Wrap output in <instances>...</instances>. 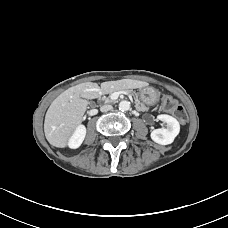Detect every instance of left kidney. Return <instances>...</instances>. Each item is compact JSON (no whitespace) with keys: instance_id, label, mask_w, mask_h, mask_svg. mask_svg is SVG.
<instances>
[{"instance_id":"left-kidney-1","label":"left kidney","mask_w":228,"mask_h":228,"mask_svg":"<svg viewBox=\"0 0 228 228\" xmlns=\"http://www.w3.org/2000/svg\"><path fill=\"white\" fill-rule=\"evenodd\" d=\"M157 118L166 123V128L153 130L151 132V139L160 145L171 144L179 134V122L174 117L166 114L158 115Z\"/></svg>"}]
</instances>
